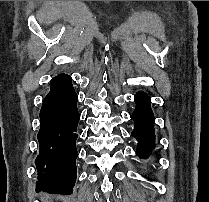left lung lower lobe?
<instances>
[{"label":"left lung lower lobe","mask_w":209,"mask_h":202,"mask_svg":"<svg viewBox=\"0 0 209 202\" xmlns=\"http://www.w3.org/2000/svg\"><path fill=\"white\" fill-rule=\"evenodd\" d=\"M136 108L131 116L135 123L132 136L138 141L136 153L140 158H148L155 148V118L150 107V98L144 92L134 97Z\"/></svg>","instance_id":"obj_1"}]
</instances>
